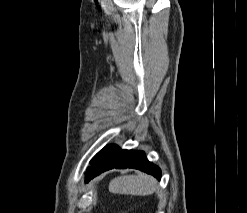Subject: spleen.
I'll return each mask as SVG.
<instances>
[{
	"instance_id": "3e777b00",
	"label": "spleen",
	"mask_w": 247,
	"mask_h": 213,
	"mask_svg": "<svg viewBox=\"0 0 247 213\" xmlns=\"http://www.w3.org/2000/svg\"><path fill=\"white\" fill-rule=\"evenodd\" d=\"M156 190V180L147 174L120 176L109 183V191L113 194L147 196Z\"/></svg>"
}]
</instances>
